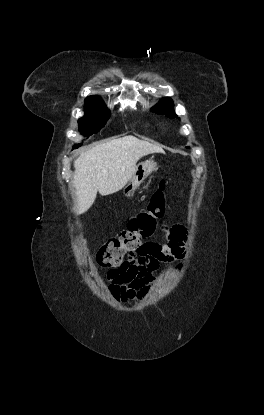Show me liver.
<instances>
[{
	"label": "liver",
	"mask_w": 264,
	"mask_h": 415,
	"mask_svg": "<svg viewBox=\"0 0 264 415\" xmlns=\"http://www.w3.org/2000/svg\"><path fill=\"white\" fill-rule=\"evenodd\" d=\"M163 149L132 135L113 139L81 152L74 161L73 186L77 214L85 213L102 196L121 190L131 179L140 158Z\"/></svg>",
	"instance_id": "obj_1"
}]
</instances>
